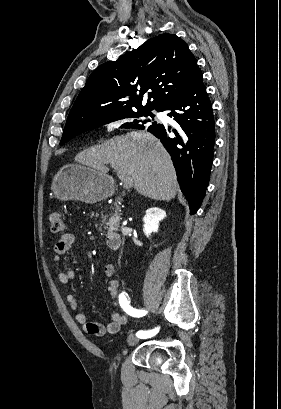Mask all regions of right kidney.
I'll list each match as a JSON object with an SVG mask.
<instances>
[{
  "label": "right kidney",
  "instance_id": "right-kidney-1",
  "mask_svg": "<svg viewBox=\"0 0 281 409\" xmlns=\"http://www.w3.org/2000/svg\"><path fill=\"white\" fill-rule=\"evenodd\" d=\"M165 217V211L158 209V207H151V209H147L146 215L143 219L144 235H146V237H150L151 233H158L159 221H162V219H165Z\"/></svg>",
  "mask_w": 281,
  "mask_h": 409
}]
</instances>
